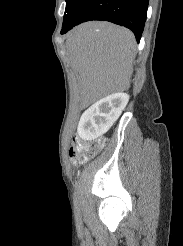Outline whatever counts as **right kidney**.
Wrapping results in <instances>:
<instances>
[{
  "label": "right kidney",
  "instance_id": "ca27d5eb",
  "mask_svg": "<svg viewBox=\"0 0 183 246\" xmlns=\"http://www.w3.org/2000/svg\"><path fill=\"white\" fill-rule=\"evenodd\" d=\"M128 101V94L118 92L93 104L80 118L77 129L80 138L94 140L106 133L119 118Z\"/></svg>",
  "mask_w": 183,
  "mask_h": 246
}]
</instances>
